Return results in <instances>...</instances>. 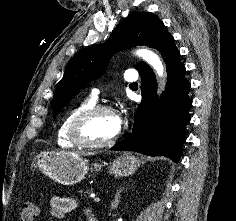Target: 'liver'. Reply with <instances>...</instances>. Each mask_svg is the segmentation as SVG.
<instances>
[{"mask_svg":"<svg viewBox=\"0 0 236 221\" xmlns=\"http://www.w3.org/2000/svg\"><path fill=\"white\" fill-rule=\"evenodd\" d=\"M77 154H81V155H92V153H79V152H76Z\"/></svg>","mask_w":236,"mask_h":221,"instance_id":"6515ba94","label":"liver"}]
</instances>
